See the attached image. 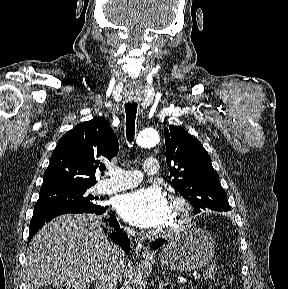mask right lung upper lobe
Segmentation results:
<instances>
[{
	"mask_svg": "<svg viewBox=\"0 0 288 289\" xmlns=\"http://www.w3.org/2000/svg\"><path fill=\"white\" fill-rule=\"evenodd\" d=\"M118 150L117 136L104 118L78 124L58 141L41 189L93 186L96 169L104 170V162L116 156Z\"/></svg>",
	"mask_w": 288,
	"mask_h": 289,
	"instance_id": "1",
	"label": "right lung upper lobe"
}]
</instances>
